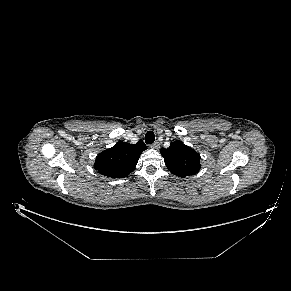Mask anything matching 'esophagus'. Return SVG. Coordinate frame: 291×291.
Segmentation results:
<instances>
[{"instance_id":"obj_1","label":"esophagus","mask_w":291,"mask_h":291,"mask_svg":"<svg viewBox=\"0 0 291 291\" xmlns=\"http://www.w3.org/2000/svg\"><path fill=\"white\" fill-rule=\"evenodd\" d=\"M150 147L153 148V149H159L160 148V144H159V142H154Z\"/></svg>"}]
</instances>
